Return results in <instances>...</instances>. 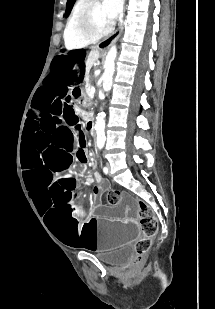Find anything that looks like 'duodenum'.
<instances>
[{"mask_svg":"<svg viewBox=\"0 0 215 309\" xmlns=\"http://www.w3.org/2000/svg\"><path fill=\"white\" fill-rule=\"evenodd\" d=\"M86 122H87L88 129L90 130V132L94 133L95 132V116L91 114H87Z\"/></svg>","mask_w":215,"mask_h":309,"instance_id":"duodenum-1","label":"duodenum"}]
</instances>
